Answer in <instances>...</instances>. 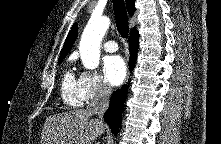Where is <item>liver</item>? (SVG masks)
Segmentation results:
<instances>
[{
    "label": "liver",
    "instance_id": "1",
    "mask_svg": "<svg viewBox=\"0 0 221 144\" xmlns=\"http://www.w3.org/2000/svg\"><path fill=\"white\" fill-rule=\"evenodd\" d=\"M87 109H77L47 117L41 134L43 144H92L105 125L91 118Z\"/></svg>",
    "mask_w": 221,
    "mask_h": 144
}]
</instances>
